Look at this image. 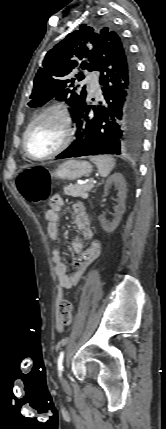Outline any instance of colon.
Instances as JSON below:
<instances>
[{
    "label": "colon",
    "instance_id": "obj_1",
    "mask_svg": "<svg viewBox=\"0 0 166 429\" xmlns=\"http://www.w3.org/2000/svg\"><path fill=\"white\" fill-rule=\"evenodd\" d=\"M19 193L30 203L40 205L47 200L50 189V176L42 166L24 168L16 177ZM57 322L67 326L73 319V303L69 299H60L57 303Z\"/></svg>",
    "mask_w": 166,
    "mask_h": 429
}]
</instances>
